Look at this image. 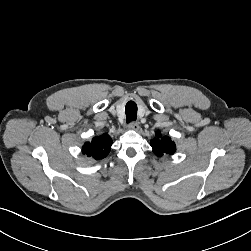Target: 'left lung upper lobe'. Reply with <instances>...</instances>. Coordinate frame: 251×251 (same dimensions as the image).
<instances>
[{
    "label": "left lung upper lobe",
    "mask_w": 251,
    "mask_h": 251,
    "mask_svg": "<svg viewBox=\"0 0 251 251\" xmlns=\"http://www.w3.org/2000/svg\"><path fill=\"white\" fill-rule=\"evenodd\" d=\"M153 148V152L157 156H162L163 154H173L176 151V146L171 138L168 136H161L159 132L156 133V137L150 142Z\"/></svg>",
    "instance_id": "left-lung-upper-lobe-1"
}]
</instances>
